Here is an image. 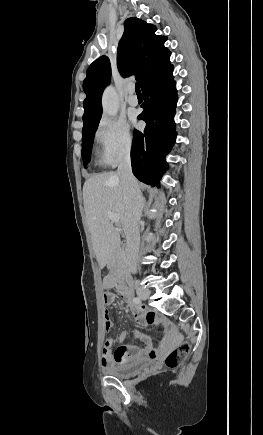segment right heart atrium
<instances>
[{
    "instance_id": "d8ad5b80",
    "label": "right heart atrium",
    "mask_w": 263,
    "mask_h": 435,
    "mask_svg": "<svg viewBox=\"0 0 263 435\" xmlns=\"http://www.w3.org/2000/svg\"><path fill=\"white\" fill-rule=\"evenodd\" d=\"M103 163L113 166L128 156L133 146V135L125 119L104 116L95 131Z\"/></svg>"
}]
</instances>
